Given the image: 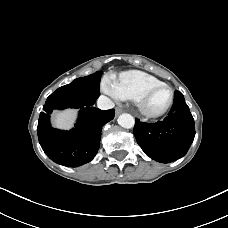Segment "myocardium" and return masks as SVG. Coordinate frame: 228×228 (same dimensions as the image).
<instances>
[{"mask_svg":"<svg viewBox=\"0 0 228 228\" xmlns=\"http://www.w3.org/2000/svg\"><path fill=\"white\" fill-rule=\"evenodd\" d=\"M159 88H167L169 90V93H170L169 100L162 109L158 111H151L147 108V100L149 96ZM136 101H137L138 109L143 116L147 118H159L165 115L172 107L174 103V90L172 89L171 86H169L166 83L155 84L145 89Z\"/></svg>","mask_w":228,"mask_h":228,"instance_id":"obj_1","label":"myocardium"}]
</instances>
